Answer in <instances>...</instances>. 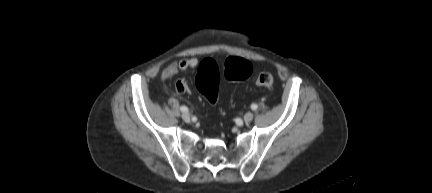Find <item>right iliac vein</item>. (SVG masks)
Here are the masks:
<instances>
[{"mask_svg": "<svg viewBox=\"0 0 432 193\" xmlns=\"http://www.w3.org/2000/svg\"><path fill=\"white\" fill-rule=\"evenodd\" d=\"M182 119L185 121V122H189L190 121V115H189V113H187V112H184L183 114H182Z\"/></svg>", "mask_w": 432, "mask_h": 193, "instance_id": "63e3f726", "label": "right iliac vein"}]
</instances>
